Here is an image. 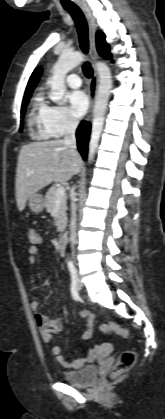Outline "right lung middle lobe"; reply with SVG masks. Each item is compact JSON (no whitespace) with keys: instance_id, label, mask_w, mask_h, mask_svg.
<instances>
[{"instance_id":"dd1d6c3e","label":"right lung middle lobe","mask_w":165,"mask_h":419,"mask_svg":"<svg viewBox=\"0 0 165 419\" xmlns=\"http://www.w3.org/2000/svg\"><path fill=\"white\" fill-rule=\"evenodd\" d=\"M29 99H30V97H27V98L23 99V102H22V107H21V118H23V117H24V114H25V109H26V106H27V104H28V102H29ZM21 130H22V121H21L20 131H21Z\"/></svg>"}]
</instances>
